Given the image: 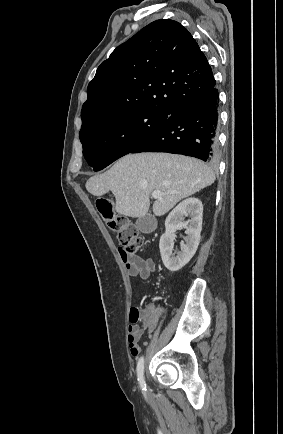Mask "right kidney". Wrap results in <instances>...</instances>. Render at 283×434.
<instances>
[{
	"instance_id": "obj_1",
	"label": "right kidney",
	"mask_w": 283,
	"mask_h": 434,
	"mask_svg": "<svg viewBox=\"0 0 283 434\" xmlns=\"http://www.w3.org/2000/svg\"><path fill=\"white\" fill-rule=\"evenodd\" d=\"M190 217L184 221L185 217ZM203 205L198 198H188L178 204L165 221V233L160 238L159 248L165 267L175 272L184 267L194 256L199 242L202 228ZM184 228L187 235L185 243L180 244V251L176 256L172 254L175 232Z\"/></svg>"
}]
</instances>
